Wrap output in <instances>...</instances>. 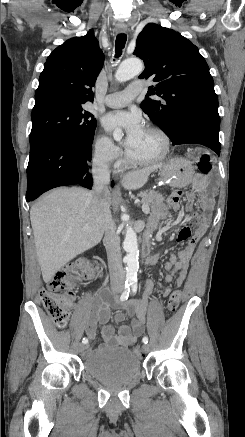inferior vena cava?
<instances>
[{"label": "inferior vena cava", "mask_w": 245, "mask_h": 437, "mask_svg": "<svg viewBox=\"0 0 245 437\" xmlns=\"http://www.w3.org/2000/svg\"><path fill=\"white\" fill-rule=\"evenodd\" d=\"M94 191L101 196V207L105 217V236L103 239L108 257L110 281L113 286H123L125 272L122 267L120 237L115 232L114 222L110 211V202L106 198L110 171L106 157H95L92 164Z\"/></svg>", "instance_id": "inferior-vena-cava-1"}]
</instances>
